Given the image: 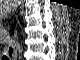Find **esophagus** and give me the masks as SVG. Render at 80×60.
<instances>
[{
  "mask_svg": "<svg viewBox=\"0 0 80 60\" xmlns=\"http://www.w3.org/2000/svg\"><path fill=\"white\" fill-rule=\"evenodd\" d=\"M22 14H23V10L20 12V16H22ZM18 34H17V32H15L14 33V36H13V43H14V45H13V43H11V45H10V47H11V49L12 50H10V49H7V53H8V55H9V50H10V52H12L11 54H10V56L13 58V57H16V55H17V50L15 49V47H16V40H17V38H18V36H17Z\"/></svg>",
  "mask_w": 80,
  "mask_h": 60,
  "instance_id": "34e87169",
  "label": "esophagus"
}]
</instances>
